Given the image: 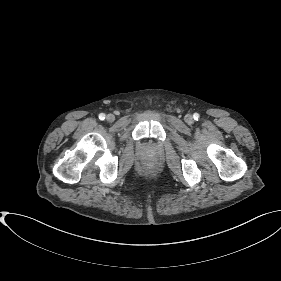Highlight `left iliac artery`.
Returning <instances> with one entry per match:
<instances>
[{"instance_id": "1", "label": "left iliac artery", "mask_w": 281, "mask_h": 281, "mask_svg": "<svg viewBox=\"0 0 281 281\" xmlns=\"http://www.w3.org/2000/svg\"><path fill=\"white\" fill-rule=\"evenodd\" d=\"M193 117H194L195 120H198L199 114L195 113V114L193 115Z\"/></svg>"}]
</instances>
